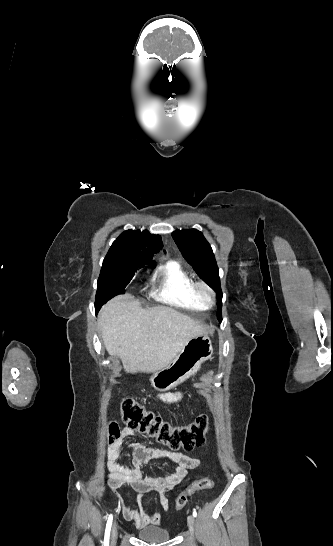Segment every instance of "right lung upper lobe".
<instances>
[{
	"mask_svg": "<svg viewBox=\"0 0 333 546\" xmlns=\"http://www.w3.org/2000/svg\"><path fill=\"white\" fill-rule=\"evenodd\" d=\"M159 235L144 231L128 230L113 242L105 259L119 260L130 270L138 271L146 265L154 267L153 255L161 248Z\"/></svg>",
	"mask_w": 333,
	"mask_h": 546,
	"instance_id": "1",
	"label": "right lung upper lobe"
}]
</instances>
